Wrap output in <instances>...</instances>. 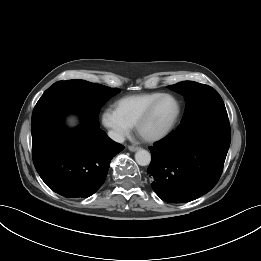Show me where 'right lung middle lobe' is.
I'll use <instances>...</instances> for the list:
<instances>
[{
  "mask_svg": "<svg viewBox=\"0 0 261 261\" xmlns=\"http://www.w3.org/2000/svg\"><path fill=\"white\" fill-rule=\"evenodd\" d=\"M119 92L118 88L85 80L58 81L41 96L33 110L32 119L54 109L75 110L98 119L101 107Z\"/></svg>",
  "mask_w": 261,
  "mask_h": 261,
  "instance_id": "right-lung-middle-lobe-1",
  "label": "right lung middle lobe"
}]
</instances>
